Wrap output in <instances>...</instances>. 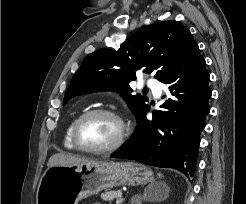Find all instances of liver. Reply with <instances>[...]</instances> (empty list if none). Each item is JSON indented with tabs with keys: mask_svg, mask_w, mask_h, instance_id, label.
<instances>
[{
	"mask_svg": "<svg viewBox=\"0 0 246 204\" xmlns=\"http://www.w3.org/2000/svg\"><path fill=\"white\" fill-rule=\"evenodd\" d=\"M85 163H101V162L89 160L86 158L76 157L70 154L56 153L49 158L47 162V166L49 168L56 165L69 166V165H77V164H85Z\"/></svg>",
	"mask_w": 246,
	"mask_h": 204,
	"instance_id": "liver-1",
	"label": "liver"
}]
</instances>
